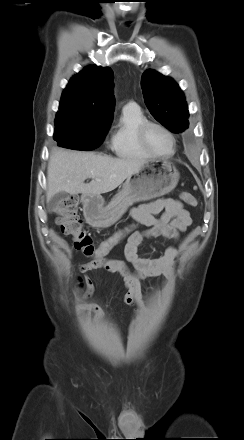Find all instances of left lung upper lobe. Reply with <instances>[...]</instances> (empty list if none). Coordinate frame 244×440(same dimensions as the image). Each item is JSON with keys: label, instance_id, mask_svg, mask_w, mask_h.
<instances>
[{"label": "left lung upper lobe", "instance_id": "1", "mask_svg": "<svg viewBox=\"0 0 244 440\" xmlns=\"http://www.w3.org/2000/svg\"><path fill=\"white\" fill-rule=\"evenodd\" d=\"M146 105L162 125L179 133L188 128V108L184 95L173 79L154 70H146L141 79Z\"/></svg>", "mask_w": 244, "mask_h": 440}]
</instances>
